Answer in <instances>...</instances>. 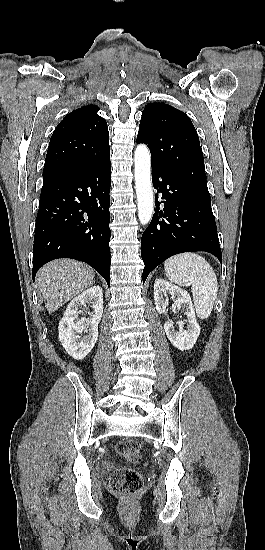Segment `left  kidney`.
Masks as SVG:
<instances>
[{
	"label": "left kidney",
	"instance_id": "5707ae66",
	"mask_svg": "<svg viewBox=\"0 0 265 550\" xmlns=\"http://www.w3.org/2000/svg\"><path fill=\"white\" fill-rule=\"evenodd\" d=\"M171 295L174 305L177 309L184 308L187 317V328L180 332L176 331L173 323L167 320L164 324V331L170 342L179 350L185 351L191 349L197 341L200 334V326L197 323L193 304L187 291L175 286L164 279H157L154 283V302L158 313L166 312L169 298ZM181 325L184 322L181 321Z\"/></svg>",
	"mask_w": 265,
	"mask_h": 550
}]
</instances>
